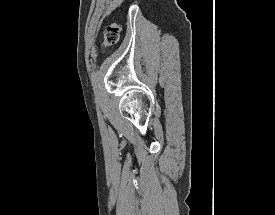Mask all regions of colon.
<instances>
[{
    "mask_svg": "<svg viewBox=\"0 0 275 215\" xmlns=\"http://www.w3.org/2000/svg\"><path fill=\"white\" fill-rule=\"evenodd\" d=\"M120 28L116 23L105 26L103 30V45L110 46L115 44L119 39Z\"/></svg>",
    "mask_w": 275,
    "mask_h": 215,
    "instance_id": "obj_1",
    "label": "colon"
}]
</instances>
